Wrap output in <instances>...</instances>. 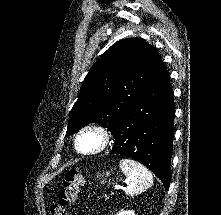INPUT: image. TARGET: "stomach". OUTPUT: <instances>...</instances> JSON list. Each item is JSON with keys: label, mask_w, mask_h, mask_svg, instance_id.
I'll list each match as a JSON object with an SVG mask.
<instances>
[{"label": "stomach", "mask_w": 221, "mask_h": 215, "mask_svg": "<svg viewBox=\"0 0 221 215\" xmlns=\"http://www.w3.org/2000/svg\"><path fill=\"white\" fill-rule=\"evenodd\" d=\"M110 172L106 171V173H104V175L108 176ZM97 178L103 177V175L101 173H97Z\"/></svg>", "instance_id": "stomach-1"}]
</instances>
